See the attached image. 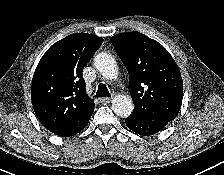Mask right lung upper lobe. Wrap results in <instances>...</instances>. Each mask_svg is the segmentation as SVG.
<instances>
[{"mask_svg": "<svg viewBox=\"0 0 224 175\" xmlns=\"http://www.w3.org/2000/svg\"><path fill=\"white\" fill-rule=\"evenodd\" d=\"M103 39L71 34L53 44L39 61L31 87L32 105L42 125L61 132L89 118L94 102L88 97L82 71Z\"/></svg>", "mask_w": 224, "mask_h": 175, "instance_id": "cb5924a9", "label": "right lung upper lobe"}]
</instances>
